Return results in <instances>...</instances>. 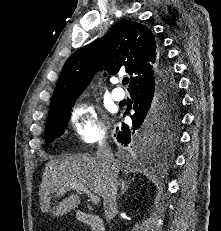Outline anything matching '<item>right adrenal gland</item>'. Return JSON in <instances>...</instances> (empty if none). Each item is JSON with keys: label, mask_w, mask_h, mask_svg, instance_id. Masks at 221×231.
<instances>
[{"label": "right adrenal gland", "mask_w": 221, "mask_h": 231, "mask_svg": "<svg viewBox=\"0 0 221 231\" xmlns=\"http://www.w3.org/2000/svg\"><path fill=\"white\" fill-rule=\"evenodd\" d=\"M130 182H131V181H130ZM130 182H126L125 180L120 179L119 185H120V187H121V190H120V195H119V197L122 196V195L127 191Z\"/></svg>", "instance_id": "1"}]
</instances>
